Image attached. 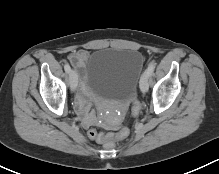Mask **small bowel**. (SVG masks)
<instances>
[{
  "label": "small bowel",
  "mask_w": 219,
  "mask_h": 174,
  "mask_svg": "<svg viewBox=\"0 0 219 174\" xmlns=\"http://www.w3.org/2000/svg\"><path fill=\"white\" fill-rule=\"evenodd\" d=\"M88 58H89V52L87 50L74 51L69 56L70 62L77 69L84 68ZM88 97H89V93L85 82H83L81 86V90L77 96L76 103H77L78 111L82 116L83 123L85 126H89L92 122L96 120V116L93 113L89 112V107L87 103ZM115 127L116 124H113L108 128L114 129Z\"/></svg>",
  "instance_id": "1"
}]
</instances>
